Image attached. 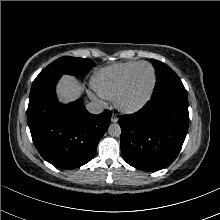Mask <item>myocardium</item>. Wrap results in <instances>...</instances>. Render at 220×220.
I'll use <instances>...</instances> for the list:
<instances>
[{"instance_id": "f54148a6", "label": "myocardium", "mask_w": 220, "mask_h": 220, "mask_svg": "<svg viewBox=\"0 0 220 220\" xmlns=\"http://www.w3.org/2000/svg\"><path fill=\"white\" fill-rule=\"evenodd\" d=\"M142 65H147L148 67H150L152 71L151 85L147 93L145 94V96L139 102L135 104H127L124 101V97L128 91L131 78L133 74L135 73V71L137 70V68ZM155 84H156V71L154 67L148 62H138L126 75L120 89L118 90L117 94L114 97V104L116 108L126 114H133V113H136L142 110L147 105V103L150 101L154 88H155Z\"/></svg>"}]
</instances>
